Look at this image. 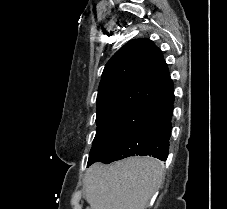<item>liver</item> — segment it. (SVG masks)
<instances>
[{
  "mask_svg": "<svg viewBox=\"0 0 227 209\" xmlns=\"http://www.w3.org/2000/svg\"><path fill=\"white\" fill-rule=\"evenodd\" d=\"M163 169L162 161L152 157L94 163L84 179L86 201L90 209H145L161 185Z\"/></svg>",
  "mask_w": 227,
  "mask_h": 209,
  "instance_id": "6515ba94",
  "label": "liver"
}]
</instances>
